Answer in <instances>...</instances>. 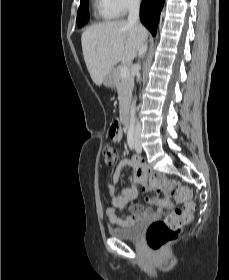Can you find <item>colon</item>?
<instances>
[{
    "label": "colon",
    "mask_w": 229,
    "mask_h": 280,
    "mask_svg": "<svg viewBox=\"0 0 229 280\" xmlns=\"http://www.w3.org/2000/svg\"><path fill=\"white\" fill-rule=\"evenodd\" d=\"M118 122H113L109 133L118 131ZM103 156L106 164H112L115 160L116 149L112 144L103 147ZM147 184L152 189H162L178 202L186 203L184 207H175L162 219L151 223L146 232V241L153 250H159L175 240L178 232L191 220L193 204L191 202V191L180 185L177 180L166 179L162 174H153L147 178Z\"/></svg>",
    "instance_id": "colon-1"
}]
</instances>
